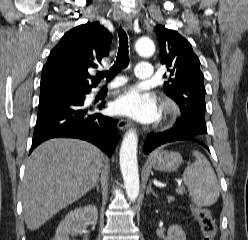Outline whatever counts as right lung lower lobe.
Instances as JSON below:
<instances>
[{
	"instance_id": "1",
	"label": "right lung lower lobe",
	"mask_w": 248,
	"mask_h": 240,
	"mask_svg": "<svg viewBox=\"0 0 248 240\" xmlns=\"http://www.w3.org/2000/svg\"><path fill=\"white\" fill-rule=\"evenodd\" d=\"M49 98L39 101L37 122L30 153L36 146L54 137H71L89 141L109 157L119 139L118 120L93 113L84 107L85 94ZM105 107L102 102L97 106Z\"/></svg>"
}]
</instances>
